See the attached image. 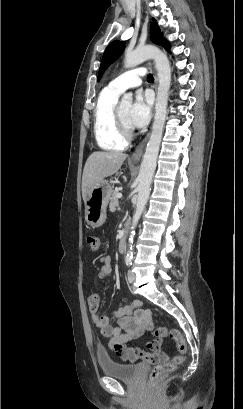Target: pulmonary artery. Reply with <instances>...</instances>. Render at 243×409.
Instances as JSON below:
<instances>
[{
	"label": "pulmonary artery",
	"mask_w": 243,
	"mask_h": 409,
	"mask_svg": "<svg viewBox=\"0 0 243 409\" xmlns=\"http://www.w3.org/2000/svg\"><path fill=\"white\" fill-rule=\"evenodd\" d=\"M144 75L145 70L143 68H134L112 79L109 82L108 87L112 88L113 90L119 93H122L126 89L137 87L138 85H140L141 78Z\"/></svg>",
	"instance_id": "e3ab8cb5"
}]
</instances>
